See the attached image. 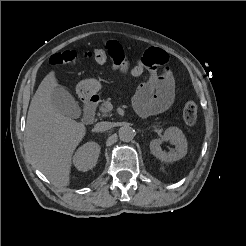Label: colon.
I'll use <instances>...</instances> for the list:
<instances>
[{"label": "colon", "instance_id": "colon-1", "mask_svg": "<svg viewBox=\"0 0 246 246\" xmlns=\"http://www.w3.org/2000/svg\"><path fill=\"white\" fill-rule=\"evenodd\" d=\"M78 58H85L92 60L98 64H104L108 61L120 62L123 59V52L117 46L106 45L103 48L86 50V51H76V50H66L63 52L55 53L50 57V64L62 65V64H72ZM182 116L184 122L192 126L196 123L198 116V106L194 101H187L182 110Z\"/></svg>", "mask_w": 246, "mask_h": 246}]
</instances>
